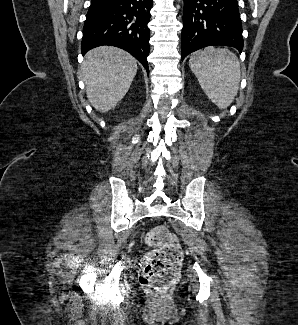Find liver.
<instances>
[{"label": "liver", "mask_w": 298, "mask_h": 325, "mask_svg": "<svg viewBox=\"0 0 298 325\" xmlns=\"http://www.w3.org/2000/svg\"><path fill=\"white\" fill-rule=\"evenodd\" d=\"M137 72L135 58L116 46H97L85 54L82 76L89 102L108 112L125 96Z\"/></svg>", "instance_id": "obj_1"}]
</instances>
